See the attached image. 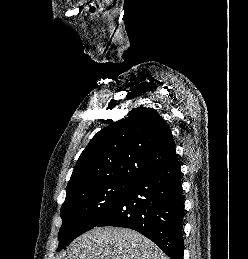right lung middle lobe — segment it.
Returning a JSON list of instances; mask_svg holds the SVG:
<instances>
[{
	"label": "right lung middle lobe",
	"mask_w": 248,
	"mask_h": 259,
	"mask_svg": "<svg viewBox=\"0 0 248 259\" xmlns=\"http://www.w3.org/2000/svg\"><path fill=\"white\" fill-rule=\"evenodd\" d=\"M132 182L112 180L67 191L61 207L60 251L76 237L94 228L124 196Z\"/></svg>",
	"instance_id": "dd1d6c3e"
}]
</instances>
